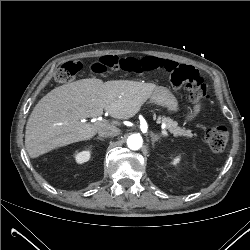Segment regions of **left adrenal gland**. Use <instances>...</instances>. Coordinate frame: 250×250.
<instances>
[{
    "mask_svg": "<svg viewBox=\"0 0 250 250\" xmlns=\"http://www.w3.org/2000/svg\"><path fill=\"white\" fill-rule=\"evenodd\" d=\"M150 135H151L152 145L154 146L155 143L161 138V135H156L153 132H151Z\"/></svg>",
    "mask_w": 250,
    "mask_h": 250,
    "instance_id": "a2214340",
    "label": "left adrenal gland"
}]
</instances>
